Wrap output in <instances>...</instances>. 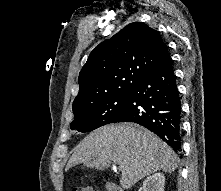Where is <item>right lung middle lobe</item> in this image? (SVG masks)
<instances>
[{
	"label": "right lung middle lobe",
	"instance_id": "right-lung-middle-lobe-1",
	"mask_svg": "<svg viewBox=\"0 0 221 191\" xmlns=\"http://www.w3.org/2000/svg\"><path fill=\"white\" fill-rule=\"evenodd\" d=\"M131 97L132 91L123 92L74 112L71 129L85 133L116 122L125 113Z\"/></svg>",
	"mask_w": 221,
	"mask_h": 191
}]
</instances>
